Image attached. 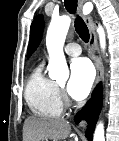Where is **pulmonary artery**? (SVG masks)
Listing matches in <instances>:
<instances>
[{
	"instance_id": "obj_1",
	"label": "pulmonary artery",
	"mask_w": 119,
	"mask_h": 141,
	"mask_svg": "<svg viewBox=\"0 0 119 141\" xmlns=\"http://www.w3.org/2000/svg\"><path fill=\"white\" fill-rule=\"evenodd\" d=\"M64 51L69 56H78L81 54V47L77 43H69L65 46Z\"/></svg>"
}]
</instances>
